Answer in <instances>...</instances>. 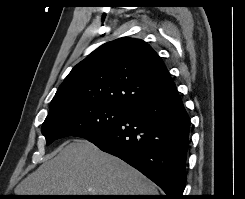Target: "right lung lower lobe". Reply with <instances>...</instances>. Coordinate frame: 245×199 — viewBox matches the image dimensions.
<instances>
[{
	"label": "right lung lower lobe",
	"mask_w": 245,
	"mask_h": 199,
	"mask_svg": "<svg viewBox=\"0 0 245 199\" xmlns=\"http://www.w3.org/2000/svg\"><path fill=\"white\" fill-rule=\"evenodd\" d=\"M189 130L190 118L175 89L129 109L119 122L87 139L151 179L165 199H183Z\"/></svg>",
	"instance_id": "obj_1"
}]
</instances>
